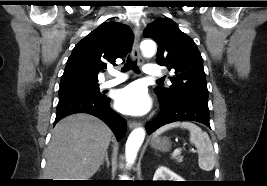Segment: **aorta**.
I'll return each mask as SVG.
<instances>
[{"label": "aorta", "mask_w": 267, "mask_h": 186, "mask_svg": "<svg viewBox=\"0 0 267 186\" xmlns=\"http://www.w3.org/2000/svg\"><path fill=\"white\" fill-rule=\"evenodd\" d=\"M141 50L144 56L151 57L156 52V44L153 40H144L141 43ZM144 138L145 130L143 128H136L130 133L125 147V156L128 164L134 163L137 152L141 147Z\"/></svg>", "instance_id": "aorta-1"}]
</instances>
